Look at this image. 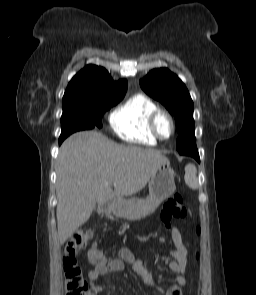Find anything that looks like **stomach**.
Segmentation results:
<instances>
[{
	"instance_id": "stomach-1",
	"label": "stomach",
	"mask_w": 256,
	"mask_h": 295,
	"mask_svg": "<svg viewBox=\"0 0 256 295\" xmlns=\"http://www.w3.org/2000/svg\"><path fill=\"white\" fill-rule=\"evenodd\" d=\"M175 190L174 170L167 160L157 167L152 176L146 199L133 198L118 203L112 208V213L118 218L139 220L153 213Z\"/></svg>"
}]
</instances>
